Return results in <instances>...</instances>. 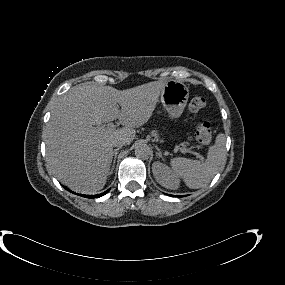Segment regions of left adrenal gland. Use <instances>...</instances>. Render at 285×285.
I'll return each instance as SVG.
<instances>
[{"label": "left adrenal gland", "mask_w": 285, "mask_h": 285, "mask_svg": "<svg viewBox=\"0 0 285 285\" xmlns=\"http://www.w3.org/2000/svg\"><path fill=\"white\" fill-rule=\"evenodd\" d=\"M156 149H157V153H156V154H157L159 157L163 158L160 149H159L158 147H156Z\"/></svg>", "instance_id": "obj_1"}]
</instances>
